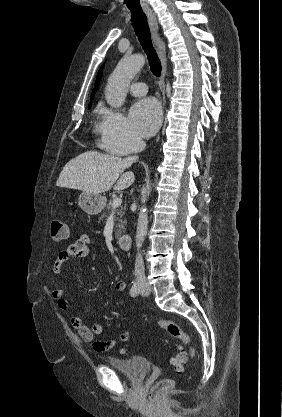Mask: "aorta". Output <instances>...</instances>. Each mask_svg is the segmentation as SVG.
I'll return each instance as SVG.
<instances>
[{
  "mask_svg": "<svg viewBox=\"0 0 282 417\" xmlns=\"http://www.w3.org/2000/svg\"><path fill=\"white\" fill-rule=\"evenodd\" d=\"M145 64L144 54H131L119 60L115 70L110 74L105 90V98L110 106H122L127 96L130 80ZM148 231V211L143 204L138 215L135 245L137 251L141 249Z\"/></svg>",
  "mask_w": 282,
  "mask_h": 417,
  "instance_id": "1",
  "label": "aorta"
}]
</instances>
